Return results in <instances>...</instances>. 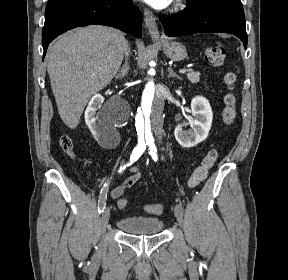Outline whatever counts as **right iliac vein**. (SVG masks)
I'll list each match as a JSON object with an SVG mask.
<instances>
[{"label": "right iliac vein", "instance_id": "right-iliac-vein-1", "mask_svg": "<svg viewBox=\"0 0 288 280\" xmlns=\"http://www.w3.org/2000/svg\"><path fill=\"white\" fill-rule=\"evenodd\" d=\"M109 218H110V209L109 207H105L101 216V228L103 232L106 230Z\"/></svg>", "mask_w": 288, "mask_h": 280}]
</instances>
